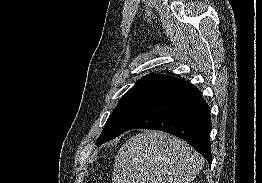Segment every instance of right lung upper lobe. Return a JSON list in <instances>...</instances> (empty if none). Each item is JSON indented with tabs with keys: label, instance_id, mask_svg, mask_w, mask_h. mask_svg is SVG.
Masks as SVG:
<instances>
[{
	"label": "right lung upper lobe",
	"instance_id": "obj_1",
	"mask_svg": "<svg viewBox=\"0 0 262 183\" xmlns=\"http://www.w3.org/2000/svg\"><path fill=\"white\" fill-rule=\"evenodd\" d=\"M174 80L176 79L171 76L151 73L137 81L136 84L127 93L140 91L158 92L160 89Z\"/></svg>",
	"mask_w": 262,
	"mask_h": 183
}]
</instances>
